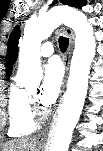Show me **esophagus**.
I'll return each mask as SVG.
<instances>
[{
    "instance_id": "34e87169",
    "label": "esophagus",
    "mask_w": 103,
    "mask_h": 151,
    "mask_svg": "<svg viewBox=\"0 0 103 151\" xmlns=\"http://www.w3.org/2000/svg\"><path fill=\"white\" fill-rule=\"evenodd\" d=\"M67 35L69 37V46H68V49L63 57V62H64V65H65V79H64V83H63V88H62V92L65 88V84H66V79H67V76H68V71H69V65H70V58H71V53H72V50H73V47H74V38H75V35L73 33L72 30L68 29L67 30ZM47 138V130H43L37 137V141L38 142H44Z\"/></svg>"
}]
</instances>
